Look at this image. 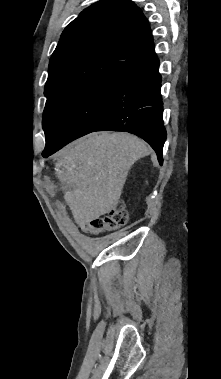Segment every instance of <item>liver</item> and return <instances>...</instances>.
Masks as SVG:
<instances>
[{
  "label": "liver",
  "mask_w": 221,
  "mask_h": 379,
  "mask_svg": "<svg viewBox=\"0 0 221 379\" xmlns=\"http://www.w3.org/2000/svg\"><path fill=\"white\" fill-rule=\"evenodd\" d=\"M151 153L140 138L123 132L92 133L57 154L56 175L69 186L64 199L80 225L116 208L128 172Z\"/></svg>",
  "instance_id": "1"
}]
</instances>
